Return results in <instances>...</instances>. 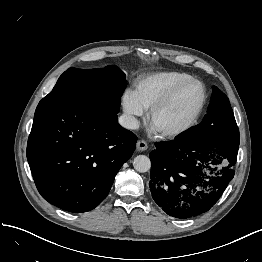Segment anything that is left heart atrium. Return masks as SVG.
<instances>
[{
  "mask_svg": "<svg viewBox=\"0 0 262 262\" xmlns=\"http://www.w3.org/2000/svg\"><path fill=\"white\" fill-rule=\"evenodd\" d=\"M156 131H157V130L153 127V128H152V132H156Z\"/></svg>",
  "mask_w": 262,
  "mask_h": 262,
  "instance_id": "obj_1",
  "label": "left heart atrium"
}]
</instances>
